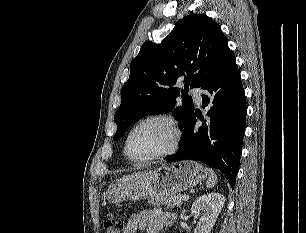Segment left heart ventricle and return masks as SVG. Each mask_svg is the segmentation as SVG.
Returning a JSON list of instances; mask_svg holds the SVG:
<instances>
[{"mask_svg":"<svg viewBox=\"0 0 306 233\" xmlns=\"http://www.w3.org/2000/svg\"><path fill=\"white\" fill-rule=\"evenodd\" d=\"M172 142L173 133L170 126L163 121H152L133 133L129 152L134 158H144L169 149Z\"/></svg>","mask_w":306,"mask_h":233,"instance_id":"b2bd125f","label":"left heart ventricle"}]
</instances>
